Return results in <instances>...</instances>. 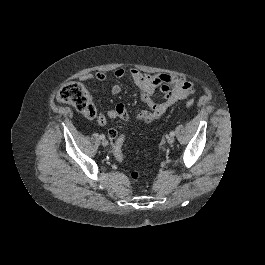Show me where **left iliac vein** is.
<instances>
[{
    "label": "left iliac vein",
    "instance_id": "left-iliac-vein-1",
    "mask_svg": "<svg viewBox=\"0 0 265 265\" xmlns=\"http://www.w3.org/2000/svg\"><path fill=\"white\" fill-rule=\"evenodd\" d=\"M174 141H175V138H174L173 136L170 135V136L167 137V142H168L169 144H173Z\"/></svg>",
    "mask_w": 265,
    "mask_h": 265
}]
</instances>
